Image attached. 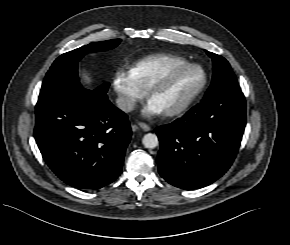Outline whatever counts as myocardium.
Wrapping results in <instances>:
<instances>
[{
  "label": "myocardium",
  "instance_id": "myocardium-1",
  "mask_svg": "<svg viewBox=\"0 0 290 245\" xmlns=\"http://www.w3.org/2000/svg\"><path fill=\"white\" fill-rule=\"evenodd\" d=\"M199 69L202 72L203 75V80L202 83L200 84V86L179 106L165 111L164 114L165 116L168 117H173V116H177L180 115L182 113H184L185 111H187L192 105L193 103L200 97V95L204 92V90L207 87L208 84V73L205 70V68L199 64L196 63H186L183 65H178L176 67H173L171 69H169L168 71H166L163 74L158 75L149 85V87L147 88L146 92H147V96L150 97L151 94L161 85H163L164 83H166L173 75L178 74L184 70L187 69Z\"/></svg>",
  "mask_w": 290,
  "mask_h": 245
}]
</instances>
